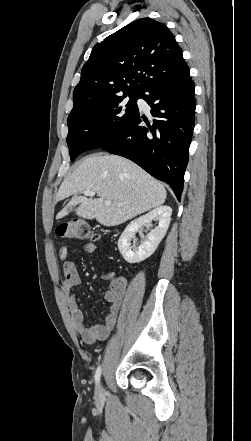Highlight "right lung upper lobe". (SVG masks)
I'll list each match as a JSON object with an SVG mask.
<instances>
[{
    "mask_svg": "<svg viewBox=\"0 0 251 441\" xmlns=\"http://www.w3.org/2000/svg\"><path fill=\"white\" fill-rule=\"evenodd\" d=\"M184 66L182 51L166 25L138 19L94 46L74 89V106L88 100L140 95L151 83Z\"/></svg>",
    "mask_w": 251,
    "mask_h": 441,
    "instance_id": "cb5924a9",
    "label": "right lung upper lobe"
}]
</instances>
